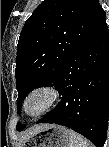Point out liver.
<instances>
[{
    "instance_id": "obj_1",
    "label": "liver",
    "mask_w": 109,
    "mask_h": 147,
    "mask_svg": "<svg viewBox=\"0 0 109 147\" xmlns=\"http://www.w3.org/2000/svg\"><path fill=\"white\" fill-rule=\"evenodd\" d=\"M48 125L49 124H40V125H36V126H33L32 128L25 130L21 135L22 140L29 138L30 136H32L35 133L39 132L40 130L44 129Z\"/></svg>"
}]
</instances>
